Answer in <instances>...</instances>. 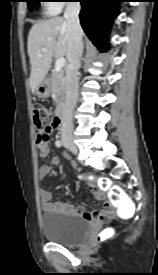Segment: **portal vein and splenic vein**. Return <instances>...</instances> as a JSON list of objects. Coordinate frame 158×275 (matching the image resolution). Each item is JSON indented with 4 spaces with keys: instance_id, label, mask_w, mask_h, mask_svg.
<instances>
[{
    "instance_id": "portal-vein-and-splenic-vein-1",
    "label": "portal vein and splenic vein",
    "mask_w": 158,
    "mask_h": 275,
    "mask_svg": "<svg viewBox=\"0 0 158 275\" xmlns=\"http://www.w3.org/2000/svg\"><path fill=\"white\" fill-rule=\"evenodd\" d=\"M65 63H66V60L63 57L58 58L55 62V71L56 72L61 71V69L65 66Z\"/></svg>"
}]
</instances>
